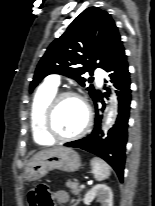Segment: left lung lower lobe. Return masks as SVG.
Returning a JSON list of instances; mask_svg holds the SVG:
<instances>
[{"label":"left lung lower lobe","instance_id":"1","mask_svg":"<svg viewBox=\"0 0 155 206\" xmlns=\"http://www.w3.org/2000/svg\"><path fill=\"white\" fill-rule=\"evenodd\" d=\"M105 71L108 73L111 82L114 83V86L118 89L116 94L119 102V115L115 125L109 130L107 136H104L101 131L103 109H96L95 124L91 133L82 139L68 142L64 145L67 147L81 148L103 158L116 171L122 182L131 103L130 73L128 71L124 48L118 52L115 59ZM105 89L107 90L105 97H108L110 90L109 88ZM92 99L97 106V102L102 100V96L96 92Z\"/></svg>","mask_w":155,"mask_h":206}]
</instances>
